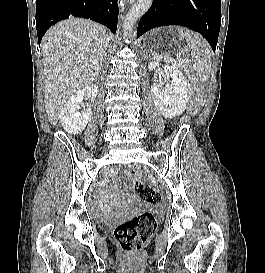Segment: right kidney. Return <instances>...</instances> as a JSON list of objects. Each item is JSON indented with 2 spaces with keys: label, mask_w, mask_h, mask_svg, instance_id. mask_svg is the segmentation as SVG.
Here are the masks:
<instances>
[{
  "label": "right kidney",
  "mask_w": 265,
  "mask_h": 273,
  "mask_svg": "<svg viewBox=\"0 0 265 273\" xmlns=\"http://www.w3.org/2000/svg\"><path fill=\"white\" fill-rule=\"evenodd\" d=\"M98 87L96 84L91 83L90 85L78 90L74 93L60 112V122L66 132L70 134L81 133L92 116L91 106H87L84 112H80V107L84 97H87L94 101L97 96Z\"/></svg>",
  "instance_id": "right-kidney-1"
}]
</instances>
